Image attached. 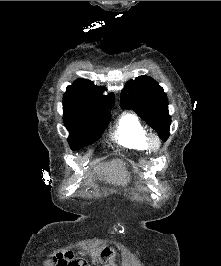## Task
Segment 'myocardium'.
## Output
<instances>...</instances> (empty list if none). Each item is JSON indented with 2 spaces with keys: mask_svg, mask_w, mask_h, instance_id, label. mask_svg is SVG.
<instances>
[{
  "mask_svg": "<svg viewBox=\"0 0 221 266\" xmlns=\"http://www.w3.org/2000/svg\"><path fill=\"white\" fill-rule=\"evenodd\" d=\"M148 144H149V147L152 151L158 152L161 149L162 142L158 136L151 135L148 138Z\"/></svg>",
  "mask_w": 221,
  "mask_h": 266,
  "instance_id": "1",
  "label": "myocardium"
}]
</instances>
